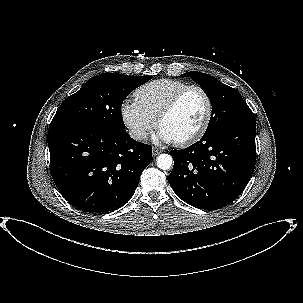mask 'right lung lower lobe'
<instances>
[{
    "label": "right lung lower lobe",
    "mask_w": 303,
    "mask_h": 303,
    "mask_svg": "<svg viewBox=\"0 0 303 303\" xmlns=\"http://www.w3.org/2000/svg\"><path fill=\"white\" fill-rule=\"evenodd\" d=\"M48 146L50 172L62 196L95 214L124 206L152 158V147L125 130L92 126L49 128Z\"/></svg>",
    "instance_id": "98d812e1"
}]
</instances>
